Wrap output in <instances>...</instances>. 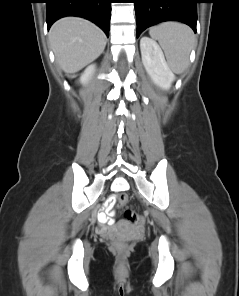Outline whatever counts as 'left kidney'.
Segmentation results:
<instances>
[{
    "label": "left kidney",
    "instance_id": "obj_1",
    "mask_svg": "<svg viewBox=\"0 0 239 296\" xmlns=\"http://www.w3.org/2000/svg\"><path fill=\"white\" fill-rule=\"evenodd\" d=\"M140 50L142 63L151 80L161 89L169 90L175 75L170 70L157 42L144 36L140 40Z\"/></svg>",
    "mask_w": 239,
    "mask_h": 296
}]
</instances>
